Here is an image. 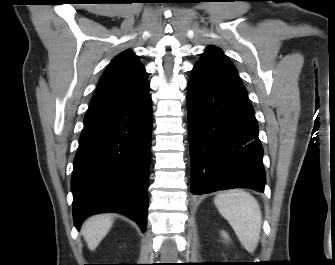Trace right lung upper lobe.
Returning <instances> with one entry per match:
<instances>
[{
	"label": "right lung upper lobe",
	"mask_w": 335,
	"mask_h": 265,
	"mask_svg": "<svg viewBox=\"0 0 335 265\" xmlns=\"http://www.w3.org/2000/svg\"><path fill=\"white\" fill-rule=\"evenodd\" d=\"M148 91L145 68L132 50H126L104 71L89 110L127 104L144 97Z\"/></svg>",
	"instance_id": "cb5924a9"
}]
</instances>
